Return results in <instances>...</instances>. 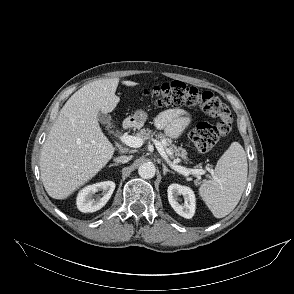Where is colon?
I'll return each instance as SVG.
<instances>
[{
  "label": "colon",
  "mask_w": 294,
  "mask_h": 294,
  "mask_svg": "<svg viewBox=\"0 0 294 294\" xmlns=\"http://www.w3.org/2000/svg\"><path fill=\"white\" fill-rule=\"evenodd\" d=\"M158 107L188 106L199 108L204 114L215 118L216 121L199 122L189 135L193 149L197 153L209 151L227 134L232 126V116L228 106L214 93L201 91L187 86L180 81L165 82L146 90Z\"/></svg>",
  "instance_id": "colon-1"
}]
</instances>
